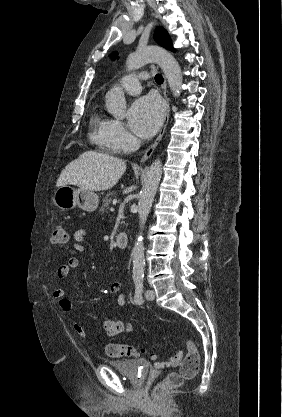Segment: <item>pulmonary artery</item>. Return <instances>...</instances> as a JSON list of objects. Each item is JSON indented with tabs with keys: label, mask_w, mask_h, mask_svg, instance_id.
Wrapping results in <instances>:
<instances>
[{
	"label": "pulmonary artery",
	"mask_w": 282,
	"mask_h": 417,
	"mask_svg": "<svg viewBox=\"0 0 282 417\" xmlns=\"http://www.w3.org/2000/svg\"><path fill=\"white\" fill-rule=\"evenodd\" d=\"M148 77L145 72H133L130 75H126L120 79L121 87L129 94L136 95L141 90V80Z\"/></svg>",
	"instance_id": "e3ab8cb5"
}]
</instances>
